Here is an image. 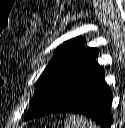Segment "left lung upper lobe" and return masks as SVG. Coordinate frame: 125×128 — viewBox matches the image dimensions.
Listing matches in <instances>:
<instances>
[{
  "instance_id": "obj_1",
  "label": "left lung upper lobe",
  "mask_w": 125,
  "mask_h": 128,
  "mask_svg": "<svg viewBox=\"0 0 125 128\" xmlns=\"http://www.w3.org/2000/svg\"><path fill=\"white\" fill-rule=\"evenodd\" d=\"M83 44L84 39L77 37L57 48L36 83L32 103L38 107L25 120L54 113L68 102L81 78L97 64L98 50Z\"/></svg>"
}]
</instances>
